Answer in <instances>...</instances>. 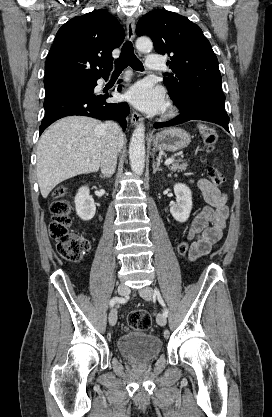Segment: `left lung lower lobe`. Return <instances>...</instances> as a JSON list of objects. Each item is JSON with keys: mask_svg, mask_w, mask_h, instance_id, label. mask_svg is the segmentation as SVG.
I'll list each match as a JSON object with an SVG mask.
<instances>
[{"mask_svg": "<svg viewBox=\"0 0 272 417\" xmlns=\"http://www.w3.org/2000/svg\"><path fill=\"white\" fill-rule=\"evenodd\" d=\"M174 104L182 113L171 121L155 123L154 128L173 126L189 120H203L219 124L229 132V117L225 110L200 102L192 97H184L183 101L180 103L174 102Z\"/></svg>", "mask_w": 272, "mask_h": 417, "instance_id": "left-lung-lower-lobe-1", "label": "left lung lower lobe"}]
</instances>
